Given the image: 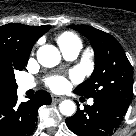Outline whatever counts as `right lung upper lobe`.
I'll return each instance as SVG.
<instances>
[{
	"instance_id": "1",
	"label": "right lung upper lobe",
	"mask_w": 136,
	"mask_h": 136,
	"mask_svg": "<svg viewBox=\"0 0 136 136\" xmlns=\"http://www.w3.org/2000/svg\"><path fill=\"white\" fill-rule=\"evenodd\" d=\"M51 26H27L10 23L0 26V60L14 57L18 61L28 60L36 40L47 32Z\"/></svg>"
}]
</instances>
